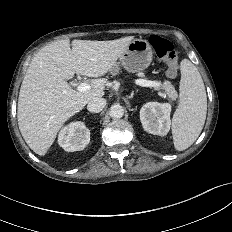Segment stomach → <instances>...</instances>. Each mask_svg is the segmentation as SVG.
Masks as SVG:
<instances>
[{
	"label": "stomach",
	"instance_id": "1",
	"mask_svg": "<svg viewBox=\"0 0 232 232\" xmlns=\"http://www.w3.org/2000/svg\"><path fill=\"white\" fill-rule=\"evenodd\" d=\"M152 56V48L147 40L134 39L129 43L120 56L119 62L112 67L110 72L116 75L120 71V66L128 72L143 71L150 65Z\"/></svg>",
	"mask_w": 232,
	"mask_h": 232
}]
</instances>
